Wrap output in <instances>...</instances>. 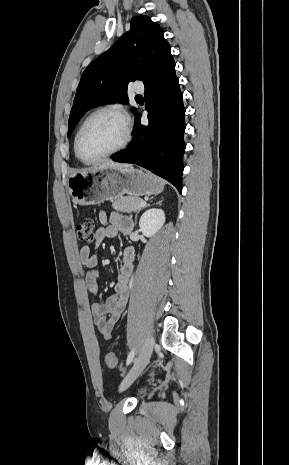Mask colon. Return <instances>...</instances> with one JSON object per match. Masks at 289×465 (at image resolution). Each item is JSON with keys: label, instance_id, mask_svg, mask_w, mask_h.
Here are the masks:
<instances>
[{"label": "colon", "instance_id": "1", "mask_svg": "<svg viewBox=\"0 0 289 465\" xmlns=\"http://www.w3.org/2000/svg\"><path fill=\"white\" fill-rule=\"evenodd\" d=\"M77 237L81 241L92 242L95 239V225L90 217L82 219L77 225ZM106 363L109 368H118L121 363L114 353H109L106 356Z\"/></svg>", "mask_w": 289, "mask_h": 465}]
</instances>
